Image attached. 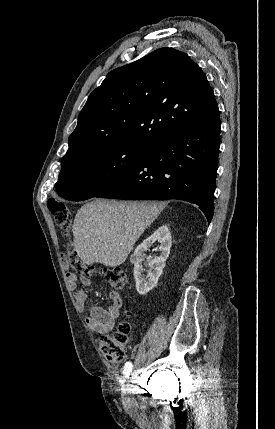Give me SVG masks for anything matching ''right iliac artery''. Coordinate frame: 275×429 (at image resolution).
Listing matches in <instances>:
<instances>
[{"label": "right iliac artery", "mask_w": 275, "mask_h": 429, "mask_svg": "<svg viewBox=\"0 0 275 429\" xmlns=\"http://www.w3.org/2000/svg\"><path fill=\"white\" fill-rule=\"evenodd\" d=\"M131 372H132V363L126 362L124 365V369H123V373H124L125 377L127 378Z\"/></svg>", "instance_id": "82829eb1"}]
</instances>
